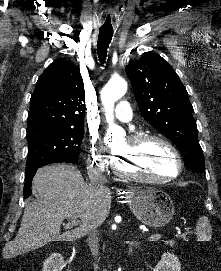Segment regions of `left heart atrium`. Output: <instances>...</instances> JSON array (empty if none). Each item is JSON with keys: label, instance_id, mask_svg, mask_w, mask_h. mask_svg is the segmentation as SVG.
<instances>
[{"label": "left heart atrium", "instance_id": "39dd6f15", "mask_svg": "<svg viewBox=\"0 0 221 271\" xmlns=\"http://www.w3.org/2000/svg\"><path fill=\"white\" fill-rule=\"evenodd\" d=\"M123 156H124V157H131V156H132V153H131V152H124V153H123Z\"/></svg>", "mask_w": 221, "mask_h": 271}]
</instances>
